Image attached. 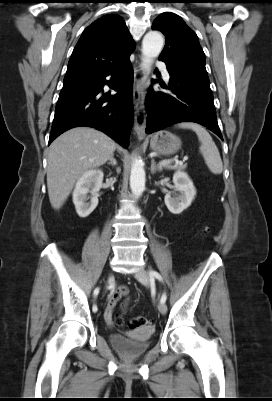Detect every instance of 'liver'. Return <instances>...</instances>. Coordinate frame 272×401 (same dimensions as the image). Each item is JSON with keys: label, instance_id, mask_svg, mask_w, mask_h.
Segmentation results:
<instances>
[{"label": "liver", "instance_id": "obj_1", "mask_svg": "<svg viewBox=\"0 0 272 401\" xmlns=\"http://www.w3.org/2000/svg\"><path fill=\"white\" fill-rule=\"evenodd\" d=\"M116 143L105 133L89 127L64 132L50 145L47 188L51 206L60 209L76 181L87 171L105 164Z\"/></svg>", "mask_w": 272, "mask_h": 401}]
</instances>
